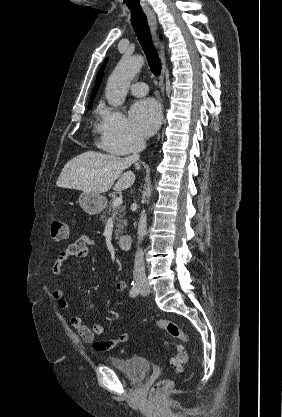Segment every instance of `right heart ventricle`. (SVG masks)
<instances>
[{"label": "right heart ventricle", "mask_w": 282, "mask_h": 417, "mask_svg": "<svg viewBox=\"0 0 282 417\" xmlns=\"http://www.w3.org/2000/svg\"><path fill=\"white\" fill-rule=\"evenodd\" d=\"M107 112H108V110L105 107L99 106L96 110V114H97L99 120L103 119L105 117V115L107 114Z\"/></svg>", "instance_id": "e07e8e85"}]
</instances>
